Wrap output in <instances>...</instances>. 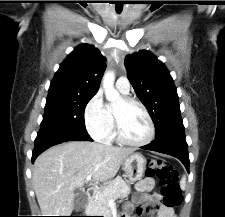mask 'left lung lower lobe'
<instances>
[{
  "label": "left lung lower lobe",
  "instance_id": "0a47b994",
  "mask_svg": "<svg viewBox=\"0 0 225 217\" xmlns=\"http://www.w3.org/2000/svg\"><path fill=\"white\" fill-rule=\"evenodd\" d=\"M141 148L174 156L178 158L184 164L187 171H189L190 161L184 127L168 131L162 136L155 138L152 143Z\"/></svg>",
  "mask_w": 225,
  "mask_h": 217
}]
</instances>
